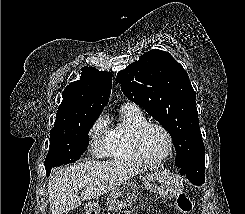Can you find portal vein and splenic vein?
Instances as JSON below:
<instances>
[{"instance_id": "obj_1", "label": "portal vein and splenic vein", "mask_w": 245, "mask_h": 214, "mask_svg": "<svg viewBox=\"0 0 245 214\" xmlns=\"http://www.w3.org/2000/svg\"><path fill=\"white\" fill-rule=\"evenodd\" d=\"M84 186H85V184H81V185H80V187H84Z\"/></svg>"}]
</instances>
